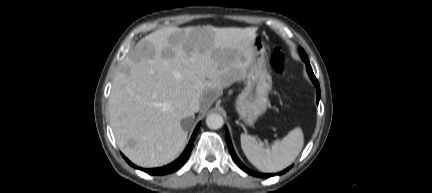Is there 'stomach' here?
I'll use <instances>...</instances> for the list:
<instances>
[{"label":"stomach","mask_w":432,"mask_h":193,"mask_svg":"<svg viewBox=\"0 0 432 193\" xmlns=\"http://www.w3.org/2000/svg\"><path fill=\"white\" fill-rule=\"evenodd\" d=\"M253 60L248 69L245 88L235 101V109L245 124L252 126L268 107L272 78L268 72L264 39L254 38Z\"/></svg>","instance_id":"1"}]
</instances>
